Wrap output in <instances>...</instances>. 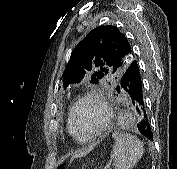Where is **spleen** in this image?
Wrapping results in <instances>:
<instances>
[{"instance_id":"obj_1","label":"spleen","mask_w":177,"mask_h":169,"mask_svg":"<svg viewBox=\"0 0 177 169\" xmlns=\"http://www.w3.org/2000/svg\"><path fill=\"white\" fill-rule=\"evenodd\" d=\"M115 140L111 152V160L115 169H132L143 156V144L135 136L128 133H113Z\"/></svg>"}]
</instances>
